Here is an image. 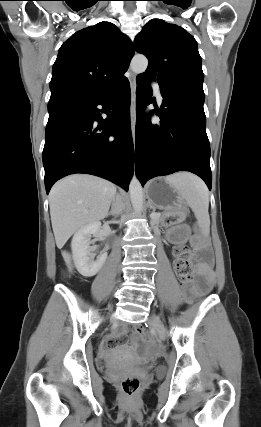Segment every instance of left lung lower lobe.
<instances>
[{"label": "left lung lower lobe", "instance_id": "0a47b994", "mask_svg": "<svg viewBox=\"0 0 261 427\" xmlns=\"http://www.w3.org/2000/svg\"><path fill=\"white\" fill-rule=\"evenodd\" d=\"M149 79L137 77L135 170L142 184L177 171H189L211 190L210 145L203 109L204 94L186 88H160V122L141 111L151 103Z\"/></svg>", "mask_w": 261, "mask_h": 427}]
</instances>
